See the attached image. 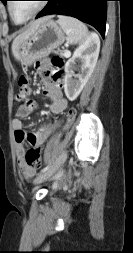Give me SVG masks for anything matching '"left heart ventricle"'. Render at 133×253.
I'll return each instance as SVG.
<instances>
[{"instance_id": "left-heart-ventricle-1", "label": "left heart ventricle", "mask_w": 133, "mask_h": 253, "mask_svg": "<svg viewBox=\"0 0 133 253\" xmlns=\"http://www.w3.org/2000/svg\"><path fill=\"white\" fill-rule=\"evenodd\" d=\"M39 1H13L11 4L12 13L17 21L29 17L39 6Z\"/></svg>"}]
</instances>
